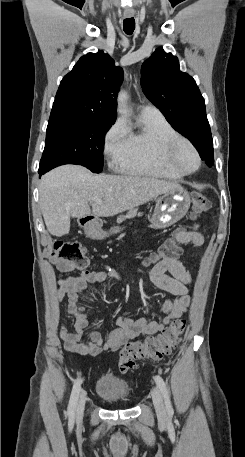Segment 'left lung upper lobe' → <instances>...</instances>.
I'll return each mask as SVG.
<instances>
[{
  "label": "left lung upper lobe",
  "mask_w": 245,
  "mask_h": 457,
  "mask_svg": "<svg viewBox=\"0 0 245 457\" xmlns=\"http://www.w3.org/2000/svg\"><path fill=\"white\" fill-rule=\"evenodd\" d=\"M141 86L173 128L195 147L211 137L204 99L194 79L179 70L176 56L156 49L142 65Z\"/></svg>",
  "instance_id": "1"
}]
</instances>
